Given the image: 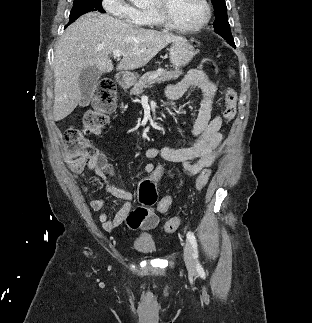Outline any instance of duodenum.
Here are the masks:
<instances>
[{
  "label": "duodenum",
  "instance_id": "1",
  "mask_svg": "<svg viewBox=\"0 0 312 323\" xmlns=\"http://www.w3.org/2000/svg\"><path fill=\"white\" fill-rule=\"evenodd\" d=\"M133 80L134 76L128 73L122 72L117 75V82L119 86L123 88H127L128 86H130Z\"/></svg>",
  "mask_w": 312,
  "mask_h": 323
}]
</instances>
